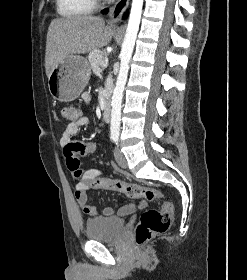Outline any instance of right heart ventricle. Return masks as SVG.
Wrapping results in <instances>:
<instances>
[{"label":"right heart ventricle","mask_w":247,"mask_h":280,"mask_svg":"<svg viewBox=\"0 0 247 280\" xmlns=\"http://www.w3.org/2000/svg\"><path fill=\"white\" fill-rule=\"evenodd\" d=\"M56 5L61 16L73 17L91 13L95 3L94 0H56Z\"/></svg>","instance_id":"obj_1"}]
</instances>
